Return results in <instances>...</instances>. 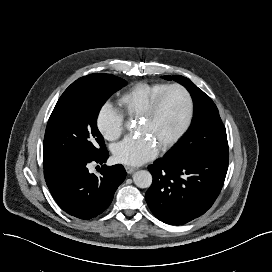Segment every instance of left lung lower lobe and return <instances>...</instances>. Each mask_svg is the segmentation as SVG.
<instances>
[{
    "label": "left lung lower lobe",
    "instance_id": "obj_1",
    "mask_svg": "<svg viewBox=\"0 0 272 272\" xmlns=\"http://www.w3.org/2000/svg\"><path fill=\"white\" fill-rule=\"evenodd\" d=\"M153 182L146 192L152 213L170 225L204 214L218 197L228 169V153L183 158L166 155L148 167Z\"/></svg>",
    "mask_w": 272,
    "mask_h": 272
}]
</instances>
